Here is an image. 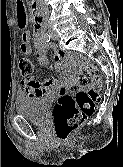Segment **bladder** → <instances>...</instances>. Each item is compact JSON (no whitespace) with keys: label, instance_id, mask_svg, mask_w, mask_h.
<instances>
[{"label":"bladder","instance_id":"1","mask_svg":"<svg viewBox=\"0 0 123 167\" xmlns=\"http://www.w3.org/2000/svg\"><path fill=\"white\" fill-rule=\"evenodd\" d=\"M16 112L35 124H45L52 109V100L48 97L20 95L15 100Z\"/></svg>","mask_w":123,"mask_h":167}]
</instances>
